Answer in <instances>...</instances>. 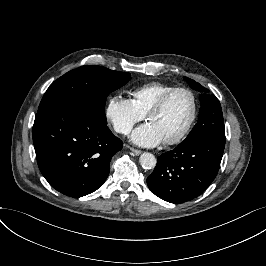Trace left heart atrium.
<instances>
[{
    "instance_id": "1",
    "label": "left heart atrium",
    "mask_w": 266,
    "mask_h": 266,
    "mask_svg": "<svg viewBox=\"0 0 266 266\" xmlns=\"http://www.w3.org/2000/svg\"><path fill=\"white\" fill-rule=\"evenodd\" d=\"M131 137L135 143L142 146H155L164 141L160 132L150 122L135 129Z\"/></svg>"
}]
</instances>
